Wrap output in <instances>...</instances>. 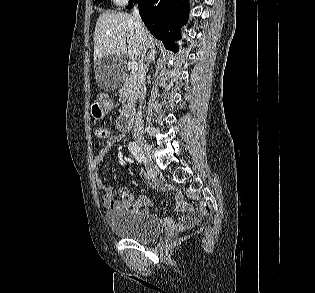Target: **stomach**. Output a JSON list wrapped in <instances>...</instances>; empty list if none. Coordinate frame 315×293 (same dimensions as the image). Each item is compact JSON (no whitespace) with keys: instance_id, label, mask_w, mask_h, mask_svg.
<instances>
[{"instance_id":"stomach-1","label":"stomach","mask_w":315,"mask_h":293,"mask_svg":"<svg viewBox=\"0 0 315 293\" xmlns=\"http://www.w3.org/2000/svg\"><path fill=\"white\" fill-rule=\"evenodd\" d=\"M111 103H117V96H104L92 105L91 115L95 119H100L105 112L111 108Z\"/></svg>"}]
</instances>
